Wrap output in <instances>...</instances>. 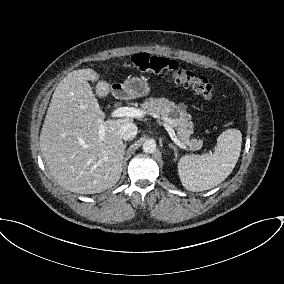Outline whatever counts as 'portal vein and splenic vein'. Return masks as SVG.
<instances>
[{"label": "portal vein and splenic vein", "instance_id": "portal-vein-and-splenic-vein-1", "mask_svg": "<svg viewBox=\"0 0 284 284\" xmlns=\"http://www.w3.org/2000/svg\"><path fill=\"white\" fill-rule=\"evenodd\" d=\"M146 114L143 110L136 109L134 107H119L111 113V117L120 118V117H132V118H143ZM157 117V115H155ZM172 121L170 119H165L164 127L168 131L172 141L180 148L187 150V147L182 143L175 134L173 126L171 125ZM99 138L103 140L105 135V127L103 125L99 128Z\"/></svg>", "mask_w": 284, "mask_h": 284}]
</instances>
